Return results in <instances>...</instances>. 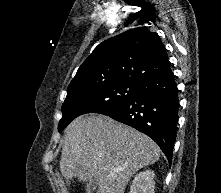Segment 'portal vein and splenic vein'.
I'll return each instance as SVG.
<instances>
[{
    "label": "portal vein and splenic vein",
    "mask_w": 221,
    "mask_h": 193,
    "mask_svg": "<svg viewBox=\"0 0 221 193\" xmlns=\"http://www.w3.org/2000/svg\"><path fill=\"white\" fill-rule=\"evenodd\" d=\"M121 169H117V172L120 171Z\"/></svg>",
    "instance_id": "1"
}]
</instances>
